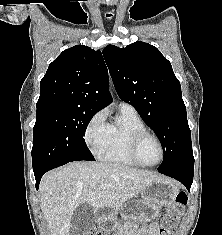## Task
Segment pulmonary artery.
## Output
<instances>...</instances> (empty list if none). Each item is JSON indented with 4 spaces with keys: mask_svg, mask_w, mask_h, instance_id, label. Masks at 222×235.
<instances>
[{
    "mask_svg": "<svg viewBox=\"0 0 222 235\" xmlns=\"http://www.w3.org/2000/svg\"><path fill=\"white\" fill-rule=\"evenodd\" d=\"M119 108L127 111H135L134 107L129 103L121 102L119 103Z\"/></svg>",
    "mask_w": 222,
    "mask_h": 235,
    "instance_id": "obj_1",
    "label": "pulmonary artery"
}]
</instances>
